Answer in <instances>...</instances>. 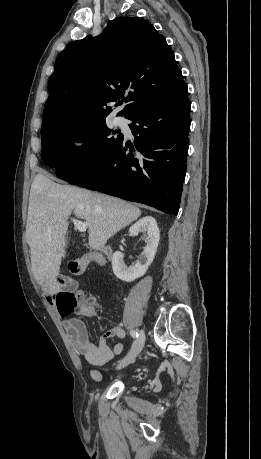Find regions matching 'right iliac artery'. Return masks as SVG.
Listing matches in <instances>:
<instances>
[{"label":"right iliac artery","mask_w":261,"mask_h":459,"mask_svg":"<svg viewBox=\"0 0 261 459\" xmlns=\"http://www.w3.org/2000/svg\"><path fill=\"white\" fill-rule=\"evenodd\" d=\"M130 335L133 337V338H138V332L135 331V330H130Z\"/></svg>","instance_id":"1"}]
</instances>
